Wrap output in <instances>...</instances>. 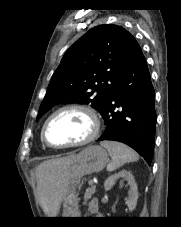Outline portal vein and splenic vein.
<instances>
[{
	"instance_id": "1",
	"label": "portal vein and splenic vein",
	"mask_w": 181,
	"mask_h": 227,
	"mask_svg": "<svg viewBox=\"0 0 181 227\" xmlns=\"http://www.w3.org/2000/svg\"><path fill=\"white\" fill-rule=\"evenodd\" d=\"M89 184L92 186V185H94V181L93 180H90L89 181Z\"/></svg>"
}]
</instances>
